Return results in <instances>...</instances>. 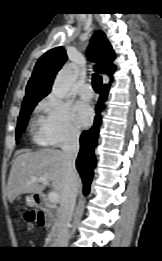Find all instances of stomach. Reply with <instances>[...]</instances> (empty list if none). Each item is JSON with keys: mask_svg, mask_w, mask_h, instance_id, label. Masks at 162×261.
I'll return each instance as SVG.
<instances>
[{"mask_svg": "<svg viewBox=\"0 0 162 261\" xmlns=\"http://www.w3.org/2000/svg\"><path fill=\"white\" fill-rule=\"evenodd\" d=\"M26 203L28 206H35L36 202L33 196H27L26 197Z\"/></svg>", "mask_w": 162, "mask_h": 261, "instance_id": "0dacf381", "label": "stomach"}]
</instances>
